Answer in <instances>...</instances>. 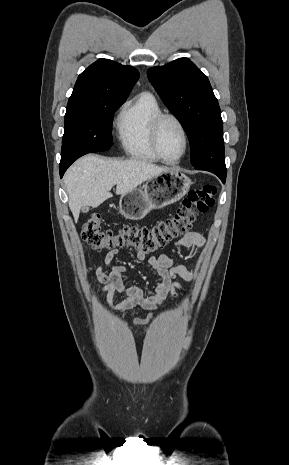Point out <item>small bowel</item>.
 <instances>
[{
	"instance_id": "c3829d8e",
	"label": "small bowel",
	"mask_w": 289,
	"mask_h": 465,
	"mask_svg": "<svg viewBox=\"0 0 289 465\" xmlns=\"http://www.w3.org/2000/svg\"><path fill=\"white\" fill-rule=\"evenodd\" d=\"M204 244L205 239L200 233L189 232L176 240L166 252L159 256L148 257L147 263L158 277L157 285L149 292H145L126 275L127 268L124 265L114 263L113 260L118 251H110L96 269L98 292L106 293L108 306L120 314L135 307L149 310L146 318L134 319V324L146 325L153 320L157 306L162 304L167 296L177 297L182 291L178 279L189 282L194 278L192 272L184 265H173L172 251L179 248H191L192 252L196 253ZM136 258L139 261H144L146 255L137 251ZM104 265L110 267L109 273L104 272ZM115 292L125 294L126 298L120 303L114 304L113 295Z\"/></svg>"
}]
</instances>
